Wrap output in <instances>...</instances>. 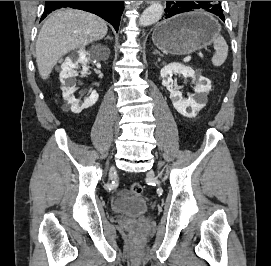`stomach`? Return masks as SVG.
Returning a JSON list of instances; mask_svg holds the SVG:
<instances>
[{
  "mask_svg": "<svg viewBox=\"0 0 271 266\" xmlns=\"http://www.w3.org/2000/svg\"><path fill=\"white\" fill-rule=\"evenodd\" d=\"M219 30L212 16L203 11H193L157 24L152 40L165 53L186 55L208 46Z\"/></svg>",
  "mask_w": 271,
  "mask_h": 266,
  "instance_id": "stomach-1",
  "label": "stomach"
}]
</instances>
